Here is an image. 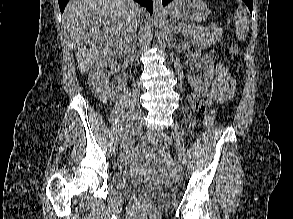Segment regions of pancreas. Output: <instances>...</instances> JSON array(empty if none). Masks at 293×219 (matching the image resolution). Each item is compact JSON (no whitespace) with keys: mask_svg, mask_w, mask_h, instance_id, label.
I'll return each instance as SVG.
<instances>
[{"mask_svg":"<svg viewBox=\"0 0 293 219\" xmlns=\"http://www.w3.org/2000/svg\"><path fill=\"white\" fill-rule=\"evenodd\" d=\"M180 27L183 33L190 37L193 42L203 46L214 45L223 36L221 30H205L191 23H182Z\"/></svg>","mask_w":293,"mask_h":219,"instance_id":"cf45deb5","label":"pancreas"}]
</instances>
